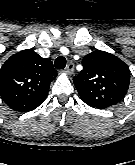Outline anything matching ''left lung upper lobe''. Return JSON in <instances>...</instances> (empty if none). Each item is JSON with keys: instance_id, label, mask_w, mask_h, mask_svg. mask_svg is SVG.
Listing matches in <instances>:
<instances>
[{"instance_id": "obj_1", "label": "left lung upper lobe", "mask_w": 135, "mask_h": 165, "mask_svg": "<svg viewBox=\"0 0 135 165\" xmlns=\"http://www.w3.org/2000/svg\"><path fill=\"white\" fill-rule=\"evenodd\" d=\"M83 70L73 78L81 99L104 109L120 102L130 83L129 67L110 53L95 50L83 58Z\"/></svg>"}]
</instances>
